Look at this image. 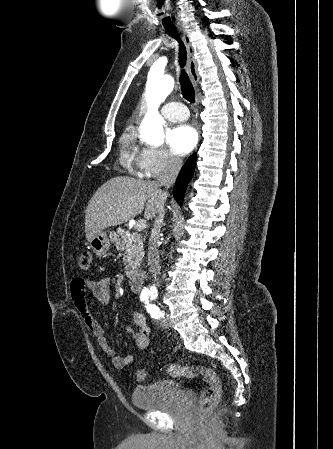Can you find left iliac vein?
<instances>
[{
	"instance_id": "4c4485c4",
	"label": "left iliac vein",
	"mask_w": 333,
	"mask_h": 449,
	"mask_svg": "<svg viewBox=\"0 0 333 449\" xmlns=\"http://www.w3.org/2000/svg\"><path fill=\"white\" fill-rule=\"evenodd\" d=\"M160 326L162 328H168V326H169V318H168V316H164L163 317V319L160 322Z\"/></svg>"
}]
</instances>
